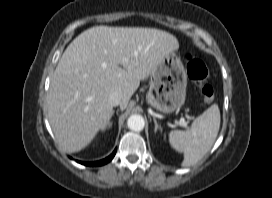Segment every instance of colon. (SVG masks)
<instances>
[{
    "label": "colon",
    "instance_id": "5ec220e1",
    "mask_svg": "<svg viewBox=\"0 0 272 198\" xmlns=\"http://www.w3.org/2000/svg\"><path fill=\"white\" fill-rule=\"evenodd\" d=\"M187 73L200 86V94L204 101L211 102L215 97L214 88L205 64L193 54L186 55Z\"/></svg>",
    "mask_w": 272,
    "mask_h": 198
}]
</instances>
